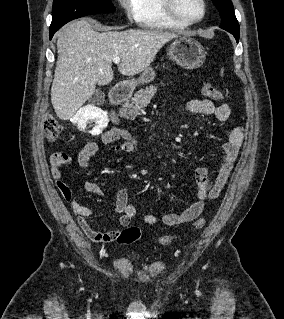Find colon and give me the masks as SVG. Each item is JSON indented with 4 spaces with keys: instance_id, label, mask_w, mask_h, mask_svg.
I'll use <instances>...</instances> for the list:
<instances>
[{
    "instance_id": "obj_1",
    "label": "colon",
    "mask_w": 284,
    "mask_h": 319,
    "mask_svg": "<svg viewBox=\"0 0 284 319\" xmlns=\"http://www.w3.org/2000/svg\"><path fill=\"white\" fill-rule=\"evenodd\" d=\"M202 93L206 97L219 101L222 99V92L210 83H205L202 87ZM43 131L45 137L49 141H54L62 131V126L56 120V118L52 115H47L43 122ZM206 220L204 218L198 219L193 224V229L198 230L204 227ZM141 237V232L137 227H128L123 229L117 239L118 243L121 244H131L139 240ZM174 239L173 235H166L160 238L159 242L163 246L169 245Z\"/></svg>"
}]
</instances>
